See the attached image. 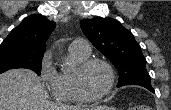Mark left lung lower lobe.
Segmentation results:
<instances>
[{
    "label": "left lung lower lobe",
    "instance_id": "left-lung-lower-lobe-1",
    "mask_svg": "<svg viewBox=\"0 0 171 110\" xmlns=\"http://www.w3.org/2000/svg\"><path fill=\"white\" fill-rule=\"evenodd\" d=\"M148 90H150L151 92H153L154 93V90H153V88H152V86H148V87H146Z\"/></svg>",
    "mask_w": 171,
    "mask_h": 110
}]
</instances>
